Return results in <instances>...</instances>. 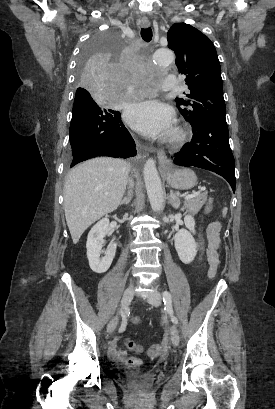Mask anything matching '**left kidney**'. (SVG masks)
<instances>
[{
    "label": "left kidney",
    "instance_id": "1",
    "mask_svg": "<svg viewBox=\"0 0 275 409\" xmlns=\"http://www.w3.org/2000/svg\"><path fill=\"white\" fill-rule=\"evenodd\" d=\"M184 223L189 231H185V229L178 231L174 237V243L180 261L185 265H189L197 255V243H195L192 235V233H195V221L191 215H186Z\"/></svg>",
    "mask_w": 275,
    "mask_h": 409
}]
</instances>
